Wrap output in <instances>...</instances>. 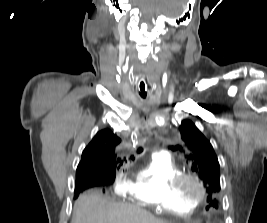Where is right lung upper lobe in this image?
Listing matches in <instances>:
<instances>
[{
  "label": "right lung upper lobe",
  "instance_id": "right-lung-upper-lobe-1",
  "mask_svg": "<svg viewBox=\"0 0 267 223\" xmlns=\"http://www.w3.org/2000/svg\"><path fill=\"white\" fill-rule=\"evenodd\" d=\"M120 139L110 130L99 131L82 153L77 167V178L82 176H103L107 169L122 163L113 155L114 147Z\"/></svg>",
  "mask_w": 267,
  "mask_h": 223
}]
</instances>
